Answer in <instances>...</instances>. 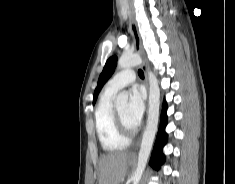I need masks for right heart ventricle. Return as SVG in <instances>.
<instances>
[{
    "instance_id": "obj_1",
    "label": "right heart ventricle",
    "mask_w": 235,
    "mask_h": 184,
    "mask_svg": "<svg viewBox=\"0 0 235 184\" xmlns=\"http://www.w3.org/2000/svg\"><path fill=\"white\" fill-rule=\"evenodd\" d=\"M111 98L112 94L105 92L98 101L94 112L95 130L100 144L107 154L123 151L130 143L120 135L116 128Z\"/></svg>"
}]
</instances>
